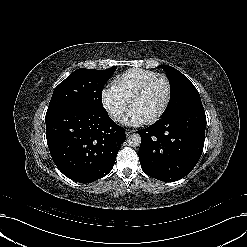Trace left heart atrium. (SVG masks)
<instances>
[{"mask_svg":"<svg viewBox=\"0 0 247 247\" xmlns=\"http://www.w3.org/2000/svg\"><path fill=\"white\" fill-rule=\"evenodd\" d=\"M128 122L131 125L137 126L146 122V118L136 111H131L128 115Z\"/></svg>","mask_w":247,"mask_h":247,"instance_id":"39dd6f15","label":"left heart atrium"}]
</instances>
